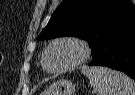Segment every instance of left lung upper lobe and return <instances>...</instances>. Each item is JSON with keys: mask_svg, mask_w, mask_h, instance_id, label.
Listing matches in <instances>:
<instances>
[{"mask_svg": "<svg viewBox=\"0 0 135 95\" xmlns=\"http://www.w3.org/2000/svg\"><path fill=\"white\" fill-rule=\"evenodd\" d=\"M134 21L131 0H64L37 38L79 37L88 42L93 55L109 34Z\"/></svg>", "mask_w": 135, "mask_h": 95, "instance_id": "obj_1", "label": "left lung upper lobe"}]
</instances>
